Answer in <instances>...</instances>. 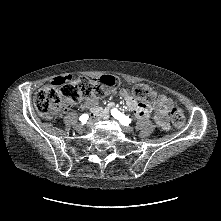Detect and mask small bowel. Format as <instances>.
I'll list each match as a JSON object with an SVG mask.
<instances>
[{"label": "small bowel", "instance_id": "1", "mask_svg": "<svg viewBox=\"0 0 221 221\" xmlns=\"http://www.w3.org/2000/svg\"><path fill=\"white\" fill-rule=\"evenodd\" d=\"M70 76H66L63 79H70ZM60 79H56L54 81H57ZM120 95L125 100V104L128 110L135 113L136 117L138 119L144 120L146 119L150 112L153 111L154 113V119L156 124L160 127V129L166 131L169 129V108L171 105H173V101L164 96V95H158L157 99L155 101V104L151 107L148 104L138 102L133 96L129 94V92L125 89H122L120 91ZM98 99L97 97L91 96L85 99L84 106L91 109V116L93 118H106L107 117V111L112 106L109 104L105 109L97 105ZM72 106V103H67L66 108H69Z\"/></svg>", "mask_w": 221, "mask_h": 221}]
</instances>
